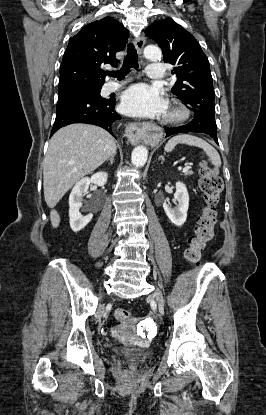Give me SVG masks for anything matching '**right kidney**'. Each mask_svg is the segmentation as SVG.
Instances as JSON below:
<instances>
[{
    "mask_svg": "<svg viewBox=\"0 0 266 415\" xmlns=\"http://www.w3.org/2000/svg\"><path fill=\"white\" fill-rule=\"evenodd\" d=\"M108 174L98 172L91 176L85 177L75 184L69 196V217L70 227L74 232L82 230L92 219L93 214L83 216L80 213L82 207V197L88 192L90 183L97 186H104L107 182Z\"/></svg>",
    "mask_w": 266,
    "mask_h": 415,
    "instance_id": "1",
    "label": "right kidney"
}]
</instances>
